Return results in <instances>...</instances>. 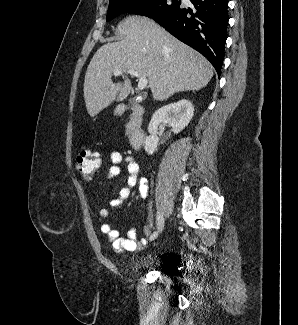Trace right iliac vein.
I'll return each instance as SVG.
<instances>
[{"instance_id":"right-iliac-vein-1","label":"right iliac vein","mask_w":298,"mask_h":325,"mask_svg":"<svg viewBox=\"0 0 298 325\" xmlns=\"http://www.w3.org/2000/svg\"><path fill=\"white\" fill-rule=\"evenodd\" d=\"M164 227V217H163V213L161 211L158 212L157 215V229L158 232H162Z\"/></svg>"}]
</instances>
